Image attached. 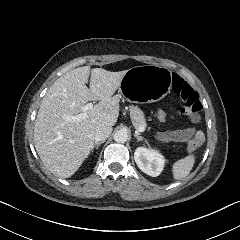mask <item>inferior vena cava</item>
Wrapping results in <instances>:
<instances>
[{
	"label": "inferior vena cava",
	"mask_w": 240,
	"mask_h": 240,
	"mask_svg": "<svg viewBox=\"0 0 240 240\" xmlns=\"http://www.w3.org/2000/svg\"><path fill=\"white\" fill-rule=\"evenodd\" d=\"M112 132V127L104 125L96 129L94 134L95 142L105 141Z\"/></svg>",
	"instance_id": "602c4592"
}]
</instances>
